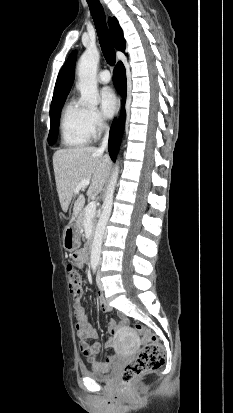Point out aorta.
Returning <instances> with one entry per match:
<instances>
[{
	"label": "aorta",
	"mask_w": 233,
	"mask_h": 413,
	"mask_svg": "<svg viewBox=\"0 0 233 413\" xmlns=\"http://www.w3.org/2000/svg\"><path fill=\"white\" fill-rule=\"evenodd\" d=\"M99 59H100L99 51L96 48H88L80 57L78 66H77V74H78L77 87L80 90L81 99L83 102L93 107L97 106L98 97H99L97 81H96V71H97ZM118 175H119V166H118V161H117L114 171L112 173L110 182L107 187L105 199H104L103 206H102V212H101V215L99 217V220L96 226V231H95L94 240L92 244L91 265L94 267L98 266L100 262V254H101L103 236H104V232H105L108 219L112 211L113 197H114L115 187L117 184Z\"/></svg>",
	"instance_id": "obj_1"
}]
</instances>
